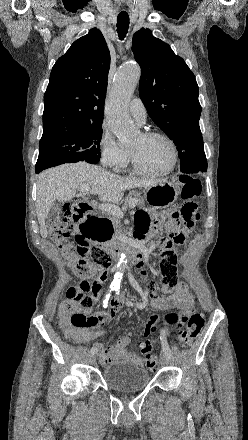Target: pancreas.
<instances>
[{
  "mask_svg": "<svg viewBox=\"0 0 248 440\" xmlns=\"http://www.w3.org/2000/svg\"><path fill=\"white\" fill-rule=\"evenodd\" d=\"M130 199L137 200V203H139V204H143L144 203V199L140 195H138V194H134V197L130 198ZM108 215H110V214H108ZM110 220L113 222V224H114V226L116 228L117 233L120 234L122 230H121V227H120L119 218L115 217V216H110Z\"/></svg>",
  "mask_w": 248,
  "mask_h": 440,
  "instance_id": "1",
  "label": "pancreas"
}]
</instances>
